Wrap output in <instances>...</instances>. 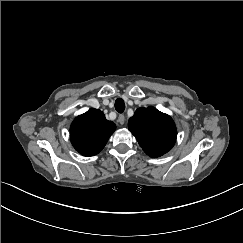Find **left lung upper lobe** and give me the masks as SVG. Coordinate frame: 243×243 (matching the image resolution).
<instances>
[{"mask_svg":"<svg viewBox=\"0 0 243 243\" xmlns=\"http://www.w3.org/2000/svg\"><path fill=\"white\" fill-rule=\"evenodd\" d=\"M128 128L152 158L167 153L176 141V126L172 118L152 106L137 109L129 119Z\"/></svg>","mask_w":243,"mask_h":243,"instance_id":"5c2ea615","label":"left lung upper lobe"}]
</instances>
